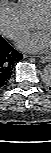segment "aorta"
I'll return each mask as SVG.
<instances>
[{
  "instance_id": "1",
  "label": "aorta",
  "mask_w": 51,
  "mask_h": 153,
  "mask_svg": "<svg viewBox=\"0 0 51 153\" xmlns=\"http://www.w3.org/2000/svg\"><path fill=\"white\" fill-rule=\"evenodd\" d=\"M42 81L46 85L51 84V66L48 64L45 66V68L42 71Z\"/></svg>"
}]
</instances>
